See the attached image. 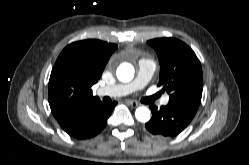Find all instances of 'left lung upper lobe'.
I'll return each instance as SVG.
<instances>
[{"label":"left lung upper lobe","mask_w":249,"mask_h":165,"mask_svg":"<svg viewBox=\"0 0 249 165\" xmlns=\"http://www.w3.org/2000/svg\"><path fill=\"white\" fill-rule=\"evenodd\" d=\"M157 52L160 80L170 98L169 103L197 112L203 90L200 61L193 50L175 38H157L147 41Z\"/></svg>","instance_id":"obj_1"}]
</instances>
